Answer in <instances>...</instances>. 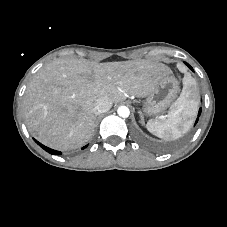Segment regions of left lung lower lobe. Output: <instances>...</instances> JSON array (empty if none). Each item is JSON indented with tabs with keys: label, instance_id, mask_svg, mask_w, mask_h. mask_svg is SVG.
I'll list each match as a JSON object with an SVG mask.
<instances>
[{
	"label": "left lung lower lobe",
	"instance_id": "left-lung-lower-lobe-1",
	"mask_svg": "<svg viewBox=\"0 0 227 227\" xmlns=\"http://www.w3.org/2000/svg\"><path fill=\"white\" fill-rule=\"evenodd\" d=\"M186 65H187L191 70H193L192 67H191L190 65H188L187 63H186ZM200 114H201V108L199 109L198 116H200ZM197 121H198V118H197V120H196L195 123H197Z\"/></svg>",
	"mask_w": 227,
	"mask_h": 227
}]
</instances>
